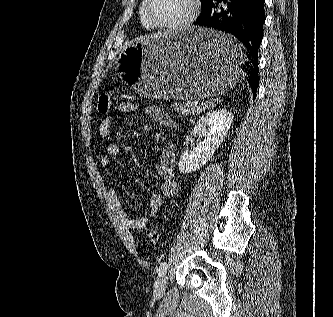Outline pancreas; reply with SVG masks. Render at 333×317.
Returning a JSON list of instances; mask_svg holds the SVG:
<instances>
[{
    "label": "pancreas",
    "instance_id": "cf45deb5",
    "mask_svg": "<svg viewBox=\"0 0 333 317\" xmlns=\"http://www.w3.org/2000/svg\"><path fill=\"white\" fill-rule=\"evenodd\" d=\"M211 104L210 103H202L201 105L193 104V102H183V103H178L175 102L173 104L174 109L183 114V115H195L197 113L202 112L206 108H208Z\"/></svg>",
    "mask_w": 333,
    "mask_h": 317
}]
</instances>
